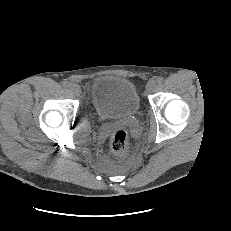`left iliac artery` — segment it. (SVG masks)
<instances>
[{
	"label": "left iliac artery",
	"instance_id": "obj_1",
	"mask_svg": "<svg viewBox=\"0 0 231 231\" xmlns=\"http://www.w3.org/2000/svg\"><path fill=\"white\" fill-rule=\"evenodd\" d=\"M163 80H164V78L159 76V77H157L156 82L160 84L163 82Z\"/></svg>",
	"mask_w": 231,
	"mask_h": 231
}]
</instances>
